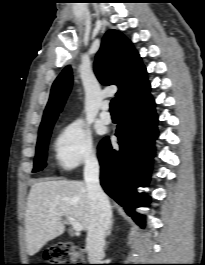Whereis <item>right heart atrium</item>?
<instances>
[{"label": "right heart atrium", "instance_id": "d8ad5b80", "mask_svg": "<svg viewBox=\"0 0 205 265\" xmlns=\"http://www.w3.org/2000/svg\"><path fill=\"white\" fill-rule=\"evenodd\" d=\"M54 151L56 163L64 170L96 161L91 132L81 120L71 121L60 131Z\"/></svg>", "mask_w": 205, "mask_h": 265}]
</instances>
